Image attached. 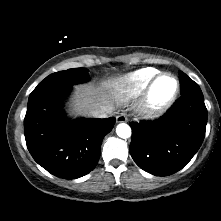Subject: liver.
<instances>
[{
    "instance_id": "6515ba94",
    "label": "liver",
    "mask_w": 221,
    "mask_h": 221,
    "mask_svg": "<svg viewBox=\"0 0 221 221\" xmlns=\"http://www.w3.org/2000/svg\"><path fill=\"white\" fill-rule=\"evenodd\" d=\"M73 113L76 115H90L89 112L100 107L115 109L114 97L101 87L94 85H79L76 87L72 99Z\"/></svg>"
}]
</instances>
